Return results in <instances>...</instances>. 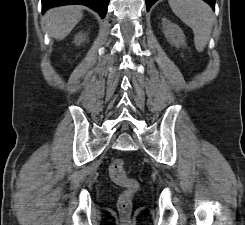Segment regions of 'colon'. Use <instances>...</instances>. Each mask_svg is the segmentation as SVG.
<instances>
[{
	"instance_id": "5ec220e1",
	"label": "colon",
	"mask_w": 245,
	"mask_h": 225,
	"mask_svg": "<svg viewBox=\"0 0 245 225\" xmlns=\"http://www.w3.org/2000/svg\"><path fill=\"white\" fill-rule=\"evenodd\" d=\"M108 172L112 181L123 187V191L118 197L119 211L124 215L130 214L133 197L139 189V183L128 175L125 161L122 158L113 159L109 164Z\"/></svg>"
}]
</instances>
